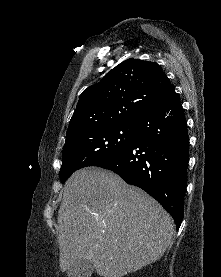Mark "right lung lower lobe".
<instances>
[{
    "label": "right lung lower lobe",
    "mask_w": 221,
    "mask_h": 277,
    "mask_svg": "<svg viewBox=\"0 0 221 277\" xmlns=\"http://www.w3.org/2000/svg\"><path fill=\"white\" fill-rule=\"evenodd\" d=\"M130 146L121 154L97 164L146 191L173 217L177 229L184 215L189 138L179 97L147 111L134 122Z\"/></svg>",
    "instance_id": "obj_1"
}]
</instances>
